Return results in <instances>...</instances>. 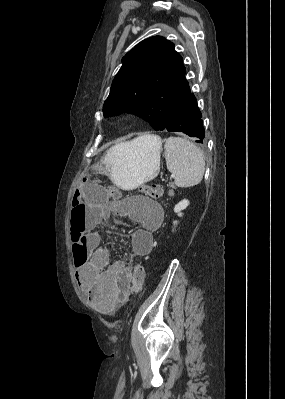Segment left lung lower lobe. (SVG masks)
<instances>
[{"label":"left lung lower lobe","instance_id":"obj_1","mask_svg":"<svg viewBox=\"0 0 285 399\" xmlns=\"http://www.w3.org/2000/svg\"><path fill=\"white\" fill-rule=\"evenodd\" d=\"M201 117L196 98L188 84L175 101L163 130L182 132L197 138L196 142L203 143L205 130Z\"/></svg>","mask_w":285,"mask_h":399}]
</instances>
